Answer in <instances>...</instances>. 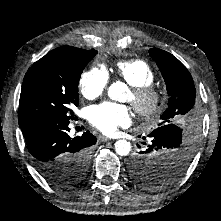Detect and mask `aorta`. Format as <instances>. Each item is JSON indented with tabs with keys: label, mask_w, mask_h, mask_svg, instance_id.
I'll list each match as a JSON object with an SVG mask.
<instances>
[{
	"label": "aorta",
	"mask_w": 221,
	"mask_h": 221,
	"mask_svg": "<svg viewBox=\"0 0 221 221\" xmlns=\"http://www.w3.org/2000/svg\"><path fill=\"white\" fill-rule=\"evenodd\" d=\"M122 85L123 84L120 82L113 83L108 90L109 97L112 99H117L122 92ZM115 151L120 156L128 155L131 151L130 142L124 139L118 140L115 143Z\"/></svg>",
	"instance_id": "aorta-1"
}]
</instances>
